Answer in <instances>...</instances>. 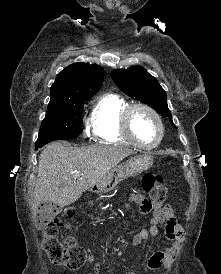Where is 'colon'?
Segmentation results:
<instances>
[{"label":"colon","instance_id":"5ec220e1","mask_svg":"<svg viewBox=\"0 0 221 274\" xmlns=\"http://www.w3.org/2000/svg\"><path fill=\"white\" fill-rule=\"evenodd\" d=\"M142 185L151 201L161 203L165 200L167 189L158 175L146 174ZM62 225L63 222L59 219L52 220L43 225V250L53 263L69 269H78L89 259V254L72 236H69L64 244L59 241L57 236Z\"/></svg>","mask_w":221,"mask_h":274}]
</instances>
